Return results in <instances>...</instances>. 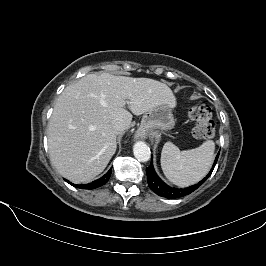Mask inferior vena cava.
Masks as SVG:
<instances>
[{
  "label": "inferior vena cava",
  "mask_w": 266,
  "mask_h": 266,
  "mask_svg": "<svg viewBox=\"0 0 266 266\" xmlns=\"http://www.w3.org/2000/svg\"><path fill=\"white\" fill-rule=\"evenodd\" d=\"M113 132L117 135L126 129V124L122 119H116L111 123Z\"/></svg>",
  "instance_id": "inferior-vena-cava-1"
}]
</instances>
